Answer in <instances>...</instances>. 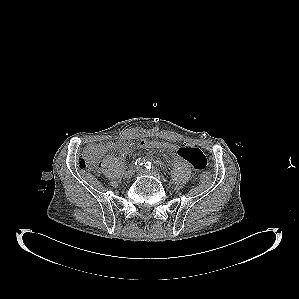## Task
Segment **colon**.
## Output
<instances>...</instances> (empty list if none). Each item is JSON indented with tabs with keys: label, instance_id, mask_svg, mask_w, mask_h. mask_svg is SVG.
I'll return each mask as SVG.
<instances>
[{
	"label": "colon",
	"instance_id": "obj_1",
	"mask_svg": "<svg viewBox=\"0 0 299 299\" xmlns=\"http://www.w3.org/2000/svg\"><path fill=\"white\" fill-rule=\"evenodd\" d=\"M121 147L119 142L105 143V144H92L89 145L79 158V167L85 170L95 171L100 167V157L104 152L117 151ZM138 148L142 149V145L139 143ZM149 148H157L155 145H151ZM210 175L207 172H203L200 175V181L207 183L210 180Z\"/></svg>",
	"mask_w": 299,
	"mask_h": 299
}]
</instances>
